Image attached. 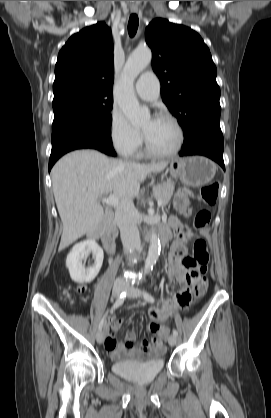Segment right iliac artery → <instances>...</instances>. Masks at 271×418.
I'll list each match as a JSON object with an SVG mask.
<instances>
[{
  "instance_id": "right-iliac-artery-1",
  "label": "right iliac artery",
  "mask_w": 271,
  "mask_h": 418,
  "mask_svg": "<svg viewBox=\"0 0 271 418\" xmlns=\"http://www.w3.org/2000/svg\"><path fill=\"white\" fill-rule=\"evenodd\" d=\"M126 298V292H123L120 294V296L117 298V300L115 301V303L113 304V306L110 309V313H113L115 311V309H117L119 306H121L124 302ZM106 316V315H105ZM105 316L102 318V320L100 321L99 324V330L102 329L103 325H104V321H105Z\"/></svg>"
}]
</instances>
